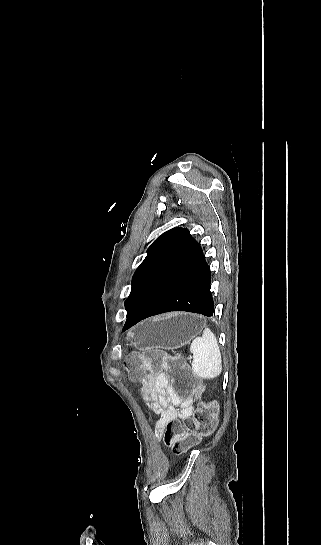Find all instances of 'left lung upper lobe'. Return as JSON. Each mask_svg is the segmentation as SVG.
<instances>
[{
  "mask_svg": "<svg viewBox=\"0 0 321 545\" xmlns=\"http://www.w3.org/2000/svg\"><path fill=\"white\" fill-rule=\"evenodd\" d=\"M184 229L174 228L159 236L149 247L148 254L144 261L137 268L132 278V288L129 297L125 301L128 311L131 309L142 290L145 288L152 276L162 266L172 251L178 237Z\"/></svg>",
  "mask_w": 321,
  "mask_h": 545,
  "instance_id": "1",
  "label": "left lung upper lobe"
}]
</instances>
